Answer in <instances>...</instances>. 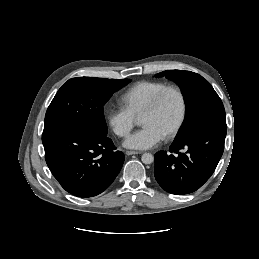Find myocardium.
I'll use <instances>...</instances> for the list:
<instances>
[{
    "label": "myocardium",
    "mask_w": 259,
    "mask_h": 259,
    "mask_svg": "<svg viewBox=\"0 0 259 259\" xmlns=\"http://www.w3.org/2000/svg\"><path fill=\"white\" fill-rule=\"evenodd\" d=\"M169 92H175L178 95L180 102H181V113H180L179 120H178L177 124L174 126V128L172 130H170L167 134L164 135V137L167 139L176 136L180 132V130L184 126V123H185V120L187 117V100H186V97H185L183 91L179 87L174 86V85H169V86H166L165 88H163L156 95V97L154 98L152 103L145 109V111L141 115V117H143L145 115L152 114V113H155L156 111H158L165 96Z\"/></svg>",
    "instance_id": "obj_1"
}]
</instances>
